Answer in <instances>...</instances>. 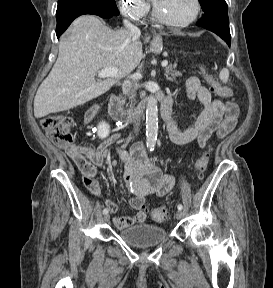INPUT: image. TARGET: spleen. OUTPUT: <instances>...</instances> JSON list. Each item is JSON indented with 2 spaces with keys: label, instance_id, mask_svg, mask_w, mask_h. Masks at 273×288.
Instances as JSON below:
<instances>
[{
  "label": "spleen",
  "instance_id": "1",
  "mask_svg": "<svg viewBox=\"0 0 273 288\" xmlns=\"http://www.w3.org/2000/svg\"><path fill=\"white\" fill-rule=\"evenodd\" d=\"M219 78L223 83H226L229 79V70L227 68H223L219 73Z\"/></svg>",
  "mask_w": 273,
  "mask_h": 288
}]
</instances>
